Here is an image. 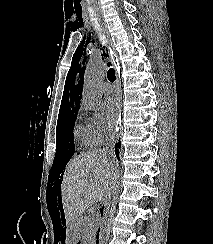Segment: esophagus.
I'll return each instance as SVG.
<instances>
[{"instance_id":"esophagus-1","label":"esophagus","mask_w":213,"mask_h":244,"mask_svg":"<svg viewBox=\"0 0 213 244\" xmlns=\"http://www.w3.org/2000/svg\"><path fill=\"white\" fill-rule=\"evenodd\" d=\"M102 28L108 34L107 26L104 25ZM116 61L117 60H115L112 55H107L106 56V63H107V65L108 66L112 65L115 68V70H116L117 98H118V100L120 102V100H121L120 89H119V86H120V67L118 66L119 64L116 63Z\"/></svg>"}]
</instances>
